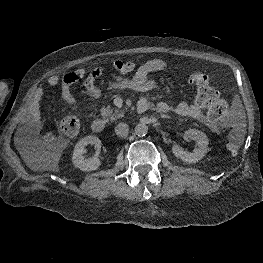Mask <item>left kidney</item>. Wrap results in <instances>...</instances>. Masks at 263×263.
<instances>
[{
  "label": "left kidney",
  "mask_w": 263,
  "mask_h": 263,
  "mask_svg": "<svg viewBox=\"0 0 263 263\" xmlns=\"http://www.w3.org/2000/svg\"><path fill=\"white\" fill-rule=\"evenodd\" d=\"M186 139L194 140L198 144V148L194 149L192 153L185 151L179 145L172 147V152L175 157L182 159L188 163H196L201 160L208 152L209 140L203 132L196 129H189L184 134Z\"/></svg>",
  "instance_id": "5707ae66"
}]
</instances>
